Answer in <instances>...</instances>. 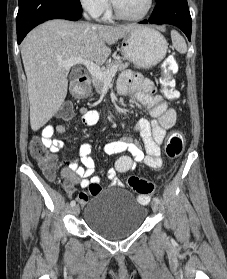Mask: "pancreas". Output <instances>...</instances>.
I'll use <instances>...</instances> for the list:
<instances>
[{
  "mask_svg": "<svg viewBox=\"0 0 227 279\" xmlns=\"http://www.w3.org/2000/svg\"><path fill=\"white\" fill-rule=\"evenodd\" d=\"M112 67H116L117 71H124L128 67V64L124 63L120 58H115L110 61L109 65L106 66L104 70L109 71ZM92 83L97 93H100L103 90L105 84L104 81L100 80L99 78L93 77Z\"/></svg>",
  "mask_w": 227,
  "mask_h": 279,
  "instance_id": "obj_1",
  "label": "pancreas"
}]
</instances>
